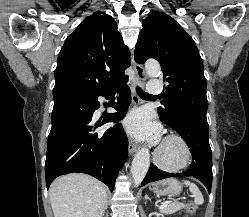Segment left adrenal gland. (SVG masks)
<instances>
[{"instance_id":"left-adrenal-gland-1","label":"left adrenal gland","mask_w":249,"mask_h":217,"mask_svg":"<svg viewBox=\"0 0 249 217\" xmlns=\"http://www.w3.org/2000/svg\"><path fill=\"white\" fill-rule=\"evenodd\" d=\"M145 200H150L151 201V199H150V197L148 195H145Z\"/></svg>"}]
</instances>
